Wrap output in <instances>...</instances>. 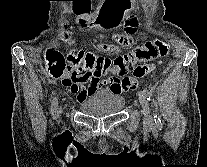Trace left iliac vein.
Listing matches in <instances>:
<instances>
[{
    "mask_svg": "<svg viewBox=\"0 0 207 167\" xmlns=\"http://www.w3.org/2000/svg\"><path fill=\"white\" fill-rule=\"evenodd\" d=\"M139 102H140V105L142 107V112H143L145 122L149 123V124H153V120H152V118L149 114L148 103H147L146 98L144 96H140L139 97Z\"/></svg>",
    "mask_w": 207,
    "mask_h": 167,
    "instance_id": "1",
    "label": "left iliac vein"
}]
</instances>
